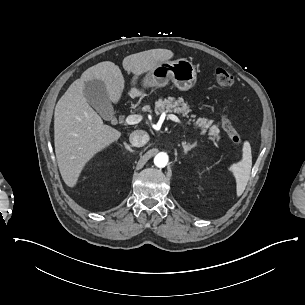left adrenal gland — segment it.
<instances>
[{"label": "left adrenal gland", "instance_id": "left-adrenal-gland-1", "mask_svg": "<svg viewBox=\"0 0 305 305\" xmlns=\"http://www.w3.org/2000/svg\"><path fill=\"white\" fill-rule=\"evenodd\" d=\"M182 146H183V149H184V153H185V155H187L188 154V151H191V150H193L194 149V147L193 146H188L187 144H186V142H182Z\"/></svg>", "mask_w": 305, "mask_h": 305}]
</instances>
